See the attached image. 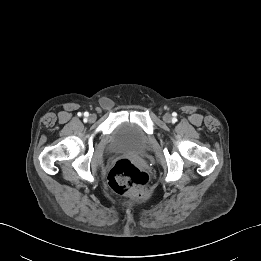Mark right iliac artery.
Segmentation results:
<instances>
[{
  "mask_svg": "<svg viewBox=\"0 0 261 261\" xmlns=\"http://www.w3.org/2000/svg\"><path fill=\"white\" fill-rule=\"evenodd\" d=\"M84 116H85V117H88V116H89V113H88V112H85V113H84Z\"/></svg>",
  "mask_w": 261,
  "mask_h": 261,
  "instance_id": "right-iliac-artery-1",
  "label": "right iliac artery"
}]
</instances>
